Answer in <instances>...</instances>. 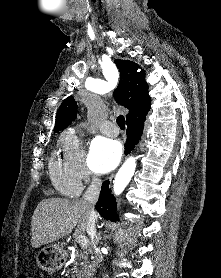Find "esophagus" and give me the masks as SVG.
Instances as JSON below:
<instances>
[{
    "mask_svg": "<svg viewBox=\"0 0 221 278\" xmlns=\"http://www.w3.org/2000/svg\"><path fill=\"white\" fill-rule=\"evenodd\" d=\"M112 178H113V175L110 176V179H112Z\"/></svg>",
    "mask_w": 221,
    "mask_h": 278,
    "instance_id": "obj_1",
    "label": "esophagus"
}]
</instances>
